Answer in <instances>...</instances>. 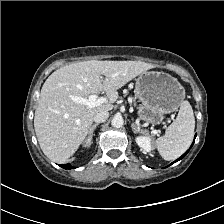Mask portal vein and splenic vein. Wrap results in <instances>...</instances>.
Wrapping results in <instances>:
<instances>
[{"label": "portal vein and splenic vein", "instance_id": "1", "mask_svg": "<svg viewBox=\"0 0 224 224\" xmlns=\"http://www.w3.org/2000/svg\"><path fill=\"white\" fill-rule=\"evenodd\" d=\"M71 100L77 103L84 104L88 106L89 108H92V107H96L100 105L101 103H104L106 101V98L99 97L93 94V95H90L88 98H84L80 96H71Z\"/></svg>", "mask_w": 224, "mask_h": 224}]
</instances>
